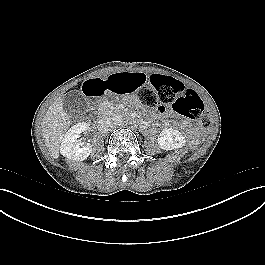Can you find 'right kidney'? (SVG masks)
Here are the masks:
<instances>
[{"instance_id": "right-kidney-1", "label": "right kidney", "mask_w": 265, "mask_h": 265, "mask_svg": "<svg viewBox=\"0 0 265 265\" xmlns=\"http://www.w3.org/2000/svg\"><path fill=\"white\" fill-rule=\"evenodd\" d=\"M87 129V123L79 122L66 132L60 146V153L64 157L75 161H83L88 158L92 152V146L90 143L84 145L83 142L78 140L80 134Z\"/></svg>"}]
</instances>
